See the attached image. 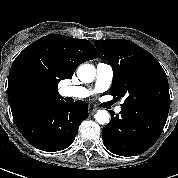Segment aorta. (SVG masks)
<instances>
[{"label": "aorta", "instance_id": "aorta-1", "mask_svg": "<svg viewBox=\"0 0 178 178\" xmlns=\"http://www.w3.org/2000/svg\"><path fill=\"white\" fill-rule=\"evenodd\" d=\"M77 76L81 82L90 83L96 77V69L92 64H82L77 70ZM94 117L101 125L108 124L110 121V114L106 110H98Z\"/></svg>", "mask_w": 178, "mask_h": 178}]
</instances>
